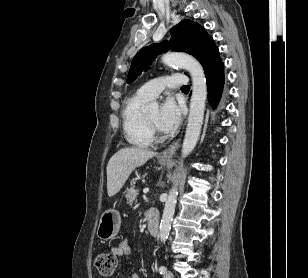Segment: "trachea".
I'll use <instances>...</instances> for the list:
<instances>
[{
	"label": "trachea",
	"mask_w": 308,
	"mask_h": 278,
	"mask_svg": "<svg viewBox=\"0 0 308 278\" xmlns=\"http://www.w3.org/2000/svg\"><path fill=\"white\" fill-rule=\"evenodd\" d=\"M181 89L182 90H189V86H183Z\"/></svg>",
	"instance_id": "3493384b"
}]
</instances>
